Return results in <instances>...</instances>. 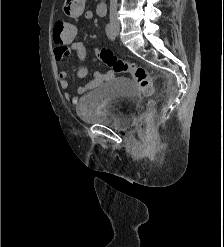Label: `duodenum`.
<instances>
[{
  "label": "duodenum",
  "mask_w": 224,
  "mask_h": 247,
  "mask_svg": "<svg viewBox=\"0 0 224 247\" xmlns=\"http://www.w3.org/2000/svg\"><path fill=\"white\" fill-rule=\"evenodd\" d=\"M107 4L104 0H100L96 5V12L99 16H104L106 14Z\"/></svg>",
  "instance_id": "obj_1"
}]
</instances>
